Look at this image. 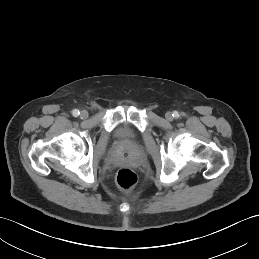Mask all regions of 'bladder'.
Listing matches in <instances>:
<instances>
[{
  "instance_id": "obj_1",
  "label": "bladder",
  "mask_w": 259,
  "mask_h": 259,
  "mask_svg": "<svg viewBox=\"0 0 259 259\" xmlns=\"http://www.w3.org/2000/svg\"><path fill=\"white\" fill-rule=\"evenodd\" d=\"M115 134L120 146L123 149H129L135 142V133L127 124L119 126Z\"/></svg>"
}]
</instances>
